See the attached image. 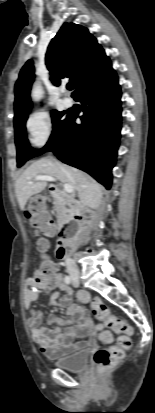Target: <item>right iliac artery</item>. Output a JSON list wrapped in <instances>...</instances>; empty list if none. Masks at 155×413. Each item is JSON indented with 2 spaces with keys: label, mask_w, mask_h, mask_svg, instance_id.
<instances>
[{
  "label": "right iliac artery",
  "mask_w": 155,
  "mask_h": 413,
  "mask_svg": "<svg viewBox=\"0 0 155 413\" xmlns=\"http://www.w3.org/2000/svg\"><path fill=\"white\" fill-rule=\"evenodd\" d=\"M64 281H65V283L70 284L72 280H71L70 276H65Z\"/></svg>",
  "instance_id": "obj_1"
}]
</instances>
